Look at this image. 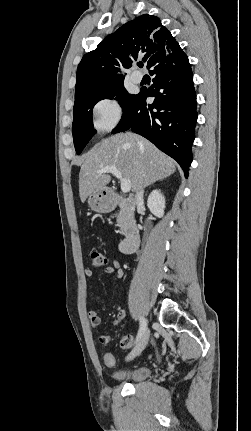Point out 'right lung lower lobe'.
Wrapping results in <instances>:
<instances>
[{"label": "right lung lower lobe", "mask_w": 251, "mask_h": 431, "mask_svg": "<svg viewBox=\"0 0 251 431\" xmlns=\"http://www.w3.org/2000/svg\"><path fill=\"white\" fill-rule=\"evenodd\" d=\"M153 85L142 88L123 110L112 133L131 129L175 159L188 176L197 120L196 95L188 58L180 46L151 67ZM149 68V69H150ZM147 97H154L146 104Z\"/></svg>", "instance_id": "1"}]
</instances>
